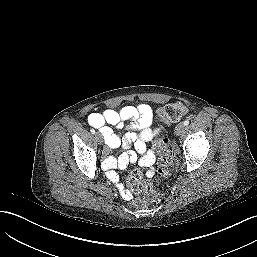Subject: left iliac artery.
<instances>
[{
	"label": "left iliac artery",
	"mask_w": 257,
	"mask_h": 257,
	"mask_svg": "<svg viewBox=\"0 0 257 257\" xmlns=\"http://www.w3.org/2000/svg\"><path fill=\"white\" fill-rule=\"evenodd\" d=\"M183 124H184V126L189 125V120H185Z\"/></svg>",
	"instance_id": "44dca946"
}]
</instances>
